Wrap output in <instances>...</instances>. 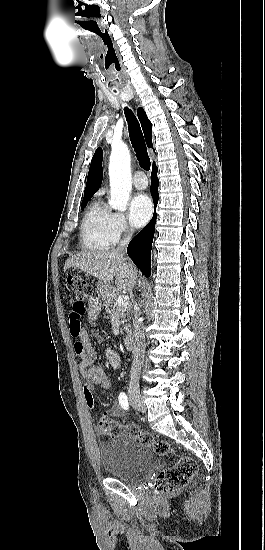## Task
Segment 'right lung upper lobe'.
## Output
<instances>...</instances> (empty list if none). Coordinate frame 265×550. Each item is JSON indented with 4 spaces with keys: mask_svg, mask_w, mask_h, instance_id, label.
I'll list each match as a JSON object with an SVG mask.
<instances>
[{
    "mask_svg": "<svg viewBox=\"0 0 265 550\" xmlns=\"http://www.w3.org/2000/svg\"><path fill=\"white\" fill-rule=\"evenodd\" d=\"M137 115L144 132L147 146L153 148L151 122L149 121L143 108H138ZM102 157H103L102 149L98 148L94 153V156L91 161L83 199L91 198L101 185L102 178H103Z\"/></svg>",
    "mask_w": 265,
    "mask_h": 550,
    "instance_id": "cb5924a9",
    "label": "right lung upper lobe"
}]
</instances>
